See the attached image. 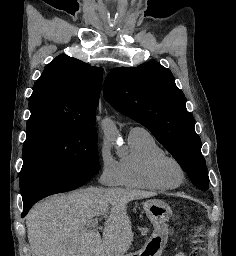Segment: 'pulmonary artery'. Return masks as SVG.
<instances>
[{
	"label": "pulmonary artery",
	"instance_id": "1",
	"mask_svg": "<svg viewBox=\"0 0 236 256\" xmlns=\"http://www.w3.org/2000/svg\"><path fill=\"white\" fill-rule=\"evenodd\" d=\"M140 129H142V128L137 127V126H129L128 127V132H129V134H131V133L136 132V131H138Z\"/></svg>",
	"mask_w": 236,
	"mask_h": 256
}]
</instances>
